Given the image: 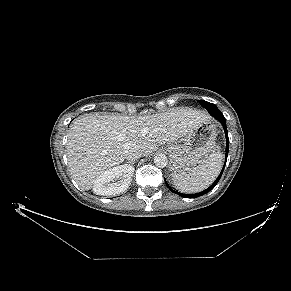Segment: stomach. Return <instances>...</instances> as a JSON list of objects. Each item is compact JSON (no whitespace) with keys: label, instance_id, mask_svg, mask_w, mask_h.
Segmentation results:
<instances>
[{"label":"stomach","instance_id":"0dacf381","mask_svg":"<svg viewBox=\"0 0 291 291\" xmlns=\"http://www.w3.org/2000/svg\"><path fill=\"white\" fill-rule=\"evenodd\" d=\"M216 135V126L209 120L197 125L180 140L168 144L166 150L171 158L172 174L188 173L214 148Z\"/></svg>","mask_w":291,"mask_h":291}]
</instances>
